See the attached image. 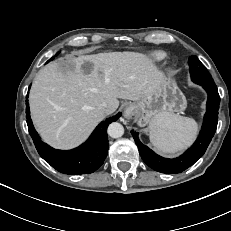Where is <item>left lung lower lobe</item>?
Returning <instances> with one entry per match:
<instances>
[{
    "instance_id": "1",
    "label": "left lung lower lobe",
    "mask_w": 231,
    "mask_h": 231,
    "mask_svg": "<svg viewBox=\"0 0 231 231\" xmlns=\"http://www.w3.org/2000/svg\"><path fill=\"white\" fill-rule=\"evenodd\" d=\"M201 86L208 93L203 126L195 143L180 157L168 159L157 155L140 142L137 132L131 131L143 161L155 171L166 174L180 173L201 158L210 144L217 129L220 96L216 86Z\"/></svg>"
}]
</instances>
